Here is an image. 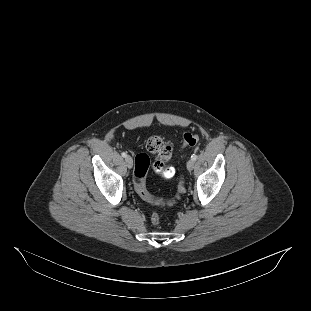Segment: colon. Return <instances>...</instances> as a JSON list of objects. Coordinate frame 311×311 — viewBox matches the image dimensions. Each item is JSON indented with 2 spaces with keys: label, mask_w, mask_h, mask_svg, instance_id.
Segmentation results:
<instances>
[{
  "label": "colon",
  "mask_w": 311,
  "mask_h": 311,
  "mask_svg": "<svg viewBox=\"0 0 311 311\" xmlns=\"http://www.w3.org/2000/svg\"><path fill=\"white\" fill-rule=\"evenodd\" d=\"M199 135L196 133L188 132L184 135L182 148L194 146L199 141ZM146 147L151 153L157 154L159 160L155 163L154 167L158 174L163 178L169 179L173 176L174 172L171 167L166 163L172 157V149L168 143H165L160 137H150L146 142ZM150 166V159L146 154H138L135 158V188L139 196L154 205L158 206H173L175 205L185 193V186L183 179L180 180L176 196L171 200H161L153 197L148 193L145 187L144 177ZM151 222L153 225H160V215L154 211L151 214Z\"/></svg>",
  "instance_id": "obj_1"
}]
</instances>
